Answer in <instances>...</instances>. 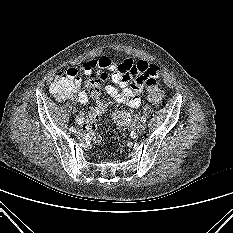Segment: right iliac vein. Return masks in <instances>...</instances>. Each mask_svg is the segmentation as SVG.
<instances>
[{
	"instance_id": "obj_1",
	"label": "right iliac vein",
	"mask_w": 233,
	"mask_h": 233,
	"mask_svg": "<svg viewBox=\"0 0 233 233\" xmlns=\"http://www.w3.org/2000/svg\"><path fill=\"white\" fill-rule=\"evenodd\" d=\"M76 134H77V136H81V131L80 130H78V131H76Z\"/></svg>"
}]
</instances>
